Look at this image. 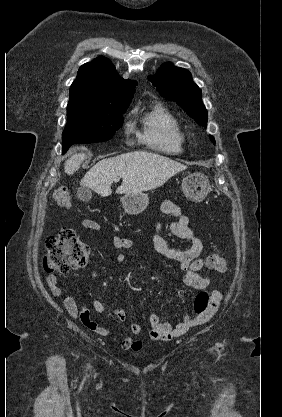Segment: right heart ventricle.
Masks as SVG:
<instances>
[{
  "label": "right heart ventricle",
  "mask_w": 282,
  "mask_h": 417,
  "mask_svg": "<svg viewBox=\"0 0 282 417\" xmlns=\"http://www.w3.org/2000/svg\"><path fill=\"white\" fill-rule=\"evenodd\" d=\"M139 138L146 145L167 152L179 150L181 141L175 119L160 104L142 114Z\"/></svg>",
  "instance_id": "obj_1"
}]
</instances>
